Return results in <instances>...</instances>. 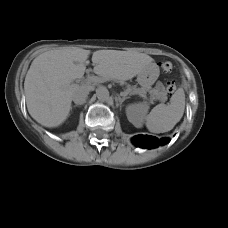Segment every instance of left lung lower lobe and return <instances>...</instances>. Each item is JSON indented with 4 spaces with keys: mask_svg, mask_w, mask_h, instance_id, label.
I'll return each mask as SVG.
<instances>
[{
    "mask_svg": "<svg viewBox=\"0 0 228 228\" xmlns=\"http://www.w3.org/2000/svg\"><path fill=\"white\" fill-rule=\"evenodd\" d=\"M168 139H161L160 141L153 136L138 135L133 138V143L142 148H153L159 146V144H165Z\"/></svg>",
    "mask_w": 228,
    "mask_h": 228,
    "instance_id": "1",
    "label": "left lung lower lobe"
}]
</instances>
